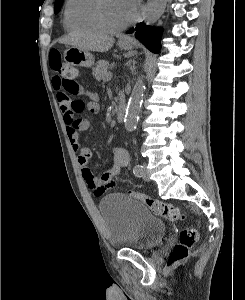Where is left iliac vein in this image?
<instances>
[{
    "instance_id": "4c4485c4",
    "label": "left iliac vein",
    "mask_w": 245,
    "mask_h": 300,
    "mask_svg": "<svg viewBox=\"0 0 245 300\" xmlns=\"http://www.w3.org/2000/svg\"><path fill=\"white\" fill-rule=\"evenodd\" d=\"M142 178L145 181H149L150 180L149 175H148V171H147V165H146V163H143V165H142Z\"/></svg>"
}]
</instances>
